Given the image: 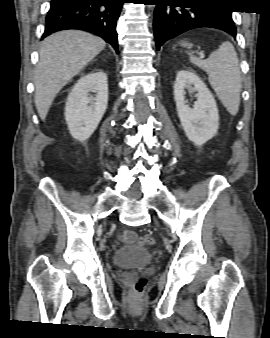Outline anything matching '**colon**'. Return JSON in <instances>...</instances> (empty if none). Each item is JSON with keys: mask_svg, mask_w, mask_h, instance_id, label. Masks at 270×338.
Instances as JSON below:
<instances>
[{"mask_svg": "<svg viewBox=\"0 0 270 338\" xmlns=\"http://www.w3.org/2000/svg\"><path fill=\"white\" fill-rule=\"evenodd\" d=\"M137 242L141 245H153L155 243V239L150 236H141L137 239ZM144 278H138L134 283V290L136 292H141L145 285Z\"/></svg>", "mask_w": 270, "mask_h": 338, "instance_id": "colon-1", "label": "colon"}]
</instances>
